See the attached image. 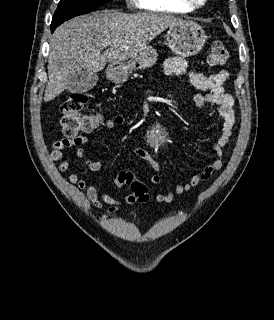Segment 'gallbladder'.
Wrapping results in <instances>:
<instances>
[{
  "label": "gallbladder",
  "instance_id": "gallbladder-1",
  "mask_svg": "<svg viewBox=\"0 0 274 320\" xmlns=\"http://www.w3.org/2000/svg\"><path fill=\"white\" fill-rule=\"evenodd\" d=\"M99 80L93 68H70L65 83L69 95L81 94L92 90Z\"/></svg>",
  "mask_w": 274,
  "mask_h": 320
}]
</instances>
